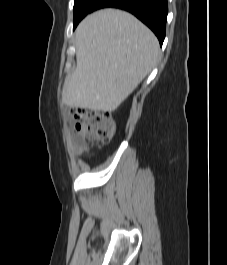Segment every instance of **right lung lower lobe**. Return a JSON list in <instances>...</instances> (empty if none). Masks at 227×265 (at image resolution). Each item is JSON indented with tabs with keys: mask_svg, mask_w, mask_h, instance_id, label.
Segmentation results:
<instances>
[{
	"mask_svg": "<svg viewBox=\"0 0 227 265\" xmlns=\"http://www.w3.org/2000/svg\"><path fill=\"white\" fill-rule=\"evenodd\" d=\"M107 7L135 15L155 33L162 45L166 32L167 0H99L93 11Z\"/></svg>",
	"mask_w": 227,
	"mask_h": 265,
	"instance_id": "obj_1",
	"label": "right lung lower lobe"
}]
</instances>
